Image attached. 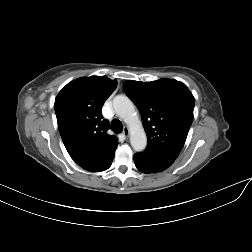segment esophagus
I'll use <instances>...</instances> for the list:
<instances>
[{
    "label": "esophagus",
    "instance_id": "34e87169",
    "mask_svg": "<svg viewBox=\"0 0 252 252\" xmlns=\"http://www.w3.org/2000/svg\"><path fill=\"white\" fill-rule=\"evenodd\" d=\"M122 133H123V135L127 138V137L129 136V129H128V127H124Z\"/></svg>",
    "mask_w": 252,
    "mask_h": 252
}]
</instances>
